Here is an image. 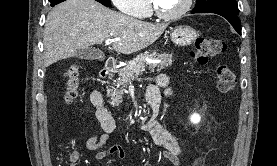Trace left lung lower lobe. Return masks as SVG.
I'll return each mask as SVG.
<instances>
[{
    "label": "left lung lower lobe",
    "mask_w": 277,
    "mask_h": 166,
    "mask_svg": "<svg viewBox=\"0 0 277 166\" xmlns=\"http://www.w3.org/2000/svg\"><path fill=\"white\" fill-rule=\"evenodd\" d=\"M213 13L226 18L231 23V25L234 27V29L239 34H241V22H240V19L238 18V15H234V14H230V13H226V12H213Z\"/></svg>",
    "instance_id": "0a47b994"
}]
</instances>
